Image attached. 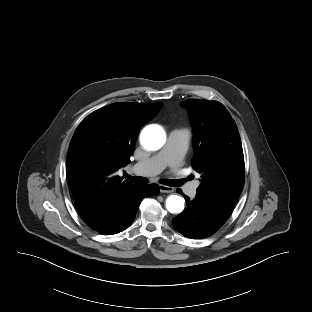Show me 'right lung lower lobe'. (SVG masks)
I'll list each match as a JSON object with an SVG mask.
<instances>
[{"instance_id":"98d812e1","label":"right lung lower lobe","mask_w":312,"mask_h":312,"mask_svg":"<svg viewBox=\"0 0 312 312\" xmlns=\"http://www.w3.org/2000/svg\"><path fill=\"white\" fill-rule=\"evenodd\" d=\"M159 194L157 184L135 185L126 195L116 211L101 224L92 228L103 235H113L128 228L134 221L141 201Z\"/></svg>"}]
</instances>
